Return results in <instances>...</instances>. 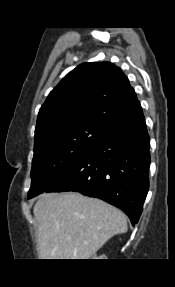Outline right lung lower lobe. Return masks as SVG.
Here are the masks:
<instances>
[{"label":"right lung lower lobe","instance_id":"obj_1","mask_svg":"<svg viewBox=\"0 0 175 287\" xmlns=\"http://www.w3.org/2000/svg\"><path fill=\"white\" fill-rule=\"evenodd\" d=\"M149 147L140 109L111 125L83 157L34 196L42 192H80L120 208L134 225L149 188Z\"/></svg>","mask_w":175,"mask_h":287}]
</instances>
